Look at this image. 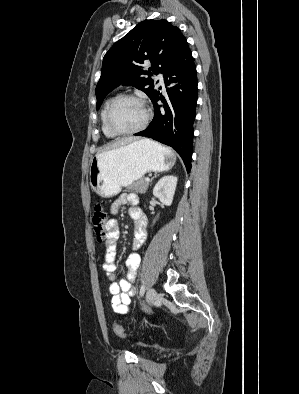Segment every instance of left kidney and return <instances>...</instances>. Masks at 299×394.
Returning <instances> with one entry per match:
<instances>
[{
	"label": "left kidney",
	"mask_w": 299,
	"mask_h": 394,
	"mask_svg": "<svg viewBox=\"0 0 299 394\" xmlns=\"http://www.w3.org/2000/svg\"><path fill=\"white\" fill-rule=\"evenodd\" d=\"M177 177L167 175L162 177L153 189V195L157 197L164 205L170 206L173 201L177 186Z\"/></svg>",
	"instance_id": "left-kidney-1"
}]
</instances>
